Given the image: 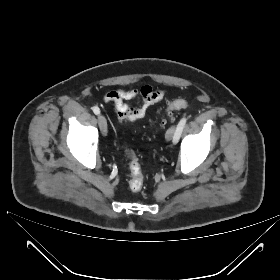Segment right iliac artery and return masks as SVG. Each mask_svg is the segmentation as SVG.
I'll return each instance as SVG.
<instances>
[{"mask_svg":"<svg viewBox=\"0 0 280 280\" xmlns=\"http://www.w3.org/2000/svg\"><path fill=\"white\" fill-rule=\"evenodd\" d=\"M93 112H94L96 115H98V114H100V109H99L97 106H95V107H93Z\"/></svg>","mask_w":280,"mask_h":280,"instance_id":"82829eb1","label":"right iliac artery"}]
</instances>
